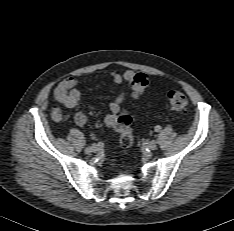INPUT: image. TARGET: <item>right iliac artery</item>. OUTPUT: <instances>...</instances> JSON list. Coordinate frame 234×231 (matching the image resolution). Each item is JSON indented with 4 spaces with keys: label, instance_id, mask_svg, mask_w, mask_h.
<instances>
[{
    "label": "right iliac artery",
    "instance_id": "obj_1",
    "mask_svg": "<svg viewBox=\"0 0 234 231\" xmlns=\"http://www.w3.org/2000/svg\"><path fill=\"white\" fill-rule=\"evenodd\" d=\"M99 145H96V144H92V148H94V147H98Z\"/></svg>",
    "mask_w": 234,
    "mask_h": 231
}]
</instances>
